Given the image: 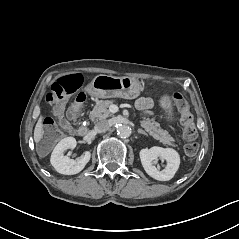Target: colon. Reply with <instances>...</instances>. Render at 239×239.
Here are the masks:
<instances>
[{
    "instance_id": "obj_1",
    "label": "colon",
    "mask_w": 239,
    "mask_h": 239,
    "mask_svg": "<svg viewBox=\"0 0 239 239\" xmlns=\"http://www.w3.org/2000/svg\"><path fill=\"white\" fill-rule=\"evenodd\" d=\"M82 78L79 74H71L58 79L52 86L51 92L47 96L49 103L55 106V115L58 119L56 123L51 118L44 123V135L49 141H55L62 136L60 128L69 129L71 123L75 121L81 112L86 100L84 93H79L67 112H64V103L81 86ZM173 102L180 112V123L184 129L185 152L188 155L196 154L198 145L196 143L197 131L194 125V118L189 110V105L180 93L173 95Z\"/></svg>"
}]
</instances>
